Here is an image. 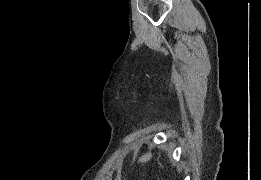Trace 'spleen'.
Masks as SVG:
<instances>
[{
    "label": "spleen",
    "mask_w": 261,
    "mask_h": 180,
    "mask_svg": "<svg viewBox=\"0 0 261 180\" xmlns=\"http://www.w3.org/2000/svg\"><path fill=\"white\" fill-rule=\"evenodd\" d=\"M151 158L152 154H144V156H141V158H139L138 162H141V164H146V162H149Z\"/></svg>",
    "instance_id": "3e777b00"
}]
</instances>
